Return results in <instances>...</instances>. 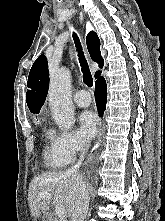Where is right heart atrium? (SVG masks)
Instances as JSON below:
<instances>
[{
    "label": "right heart atrium",
    "instance_id": "1",
    "mask_svg": "<svg viewBox=\"0 0 165 221\" xmlns=\"http://www.w3.org/2000/svg\"><path fill=\"white\" fill-rule=\"evenodd\" d=\"M52 135L54 153L69 162L88 147V141L78 131H54Z\"/></svg>",
    "mask_w": 165,
    "mask_h": 221
}]
</instances>
